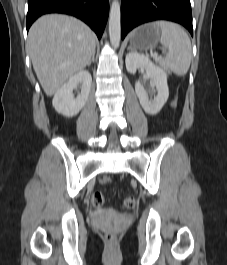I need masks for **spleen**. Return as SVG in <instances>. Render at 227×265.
Instances as JSON below:
<instances>
[{"label":"spleen","mask_w":227,"mask_h":265,"mask_svg":"<svg viewBox=\"0 0 227 265\" xmlns=\"http://www.w3.org/2000/svg\"><path fill=\"white\" fill-rule=\"evenodd\" d=\"M151 25L160 29V42L168 49L164 60L165 67L178 76L186 75L191 63L192 47L185 30L169 21H157Z\"/></svg>","instance_id":"3e777b00"}]
</instances>
